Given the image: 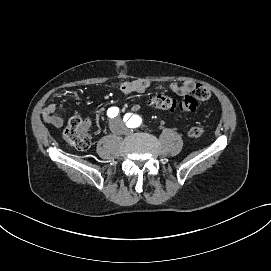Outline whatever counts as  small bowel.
Returning <instances> with one entry per match:
<instances>
[{
    "instance_id": "1",
    "label": "small bowel",
    "mask_w": 271,
    "mask_h": 271,
    "mask_svg": "<svg viewBox=\"0 0 271 271\" xmlns=\"http://www.w3.org/2000/svg\"><path fill=\"white\" fill-rule=\"evenodd\" d=\"M150 83L146 80H133V81H125L120 85V90L124 95H130L134 93H142L148 87ZM197 84L192 81H185L183 83L172 82L169 84V88L172 92L179 96H184L186 94L191 93ZM140 109V105L135 103L132 105L133 111H138ZM41 116L45 123L51 124L55 127H61L64 123L62 117L56 114V106L54 104H49L42 108ZM89 124V119L85 121Z\"/></svg>"
}]
</instances>
